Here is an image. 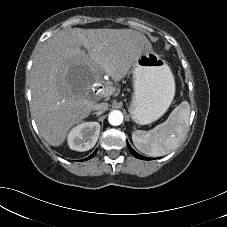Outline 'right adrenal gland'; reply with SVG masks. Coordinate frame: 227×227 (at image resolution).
Masks as SVG:
<instances>
[{
    "label": "right adrenal gland",
    "instance_id": "2a0ac1e0",
    "mask_svg": "<svg viewBox=\"0 0 227 227\" xmlns=\"http://www.w3.org/2000/svg\"><path fill=\"white\" fill-rule=\"evenodd\" d=\"M102 112H93L92 115H96L97 117L100 116Z\"/></svg>",
    "mask_w": 227,
    "mask_h": 227
}]
</instances>
